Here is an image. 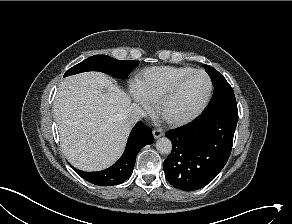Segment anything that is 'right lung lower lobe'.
<instances>
[{"mask_svg": "<svg viewBox=\"0 0 292 224\" xmlns=\"http://www.w3.org/2000/svg\"><path fill=\"white\" fill-rule=\"evenodd\" d=\"M153 135L149 127L139 121L132 129L126 149L122 157L111 167L97 172H84L71 166L74 171L88 182L111 186L123 183L132 174L138 152L147 144L153 143Z\"/></svg>", "mask_w": 292, "mask_h": 224, "instance_id": "obj_1", "label": "right lung lower lobe"}]
</instances>
